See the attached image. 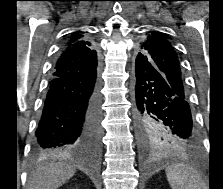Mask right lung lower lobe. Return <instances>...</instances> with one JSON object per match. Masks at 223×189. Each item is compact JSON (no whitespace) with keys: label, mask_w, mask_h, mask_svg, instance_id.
Returning a JSON list of instances; mask_svg holds the SVG:
<instances>
[{"label":"right lung lower lobe","mask_w":223,"mask_h":189,"mask_svg":"<svg viewBox=\"0 0 223 189\" xmlns=\"http://www.w3.org/2000/svg\"><path fill=\"white\" fill-rule=\"evenodd\" d=\"M100 118L98 66L82 76L52 77L35 132L34 152L50 154L82 146L97 155Z\"/></svg>","instance_id":"1"}]
</instances>
